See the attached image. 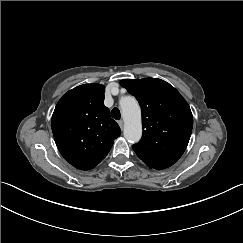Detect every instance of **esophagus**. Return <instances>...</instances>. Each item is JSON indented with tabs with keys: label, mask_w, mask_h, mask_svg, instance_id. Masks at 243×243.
Wrapping results in <instances>:
<instances>
[{
	"label": "esophagus",
	"mask_w": 243,
	"mask_h": 243,
	"mask_svg": "<svg viewBox=\"0 0 243 243\" xmlns=\"http://www.w3.org/2000/svg\"><path fill=\"white\" fill-rule=\"evenodd\" d=\"M118 124H119L120 128L123 129V127H124V123H123V121H122V120H119V121H118Z\"/></svg>",
	"instance_id": "34e87169"
}]
</instances>
